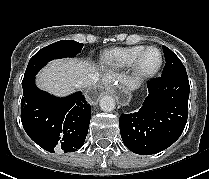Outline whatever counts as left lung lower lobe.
Segmentation results:
<instances>
[{
	"mask_svg": "<svg viewBox=\"0 0 209 179\" xmlns=\"http://www.w3.org/2000/svg\"><path fill=\"white\" fill-rule=\"evenodd\" d=\"M147 87L149 95L140 110L119 118L125 146L141 155L171 146L182 134L188 117L190 86L186 72L161 76Z\"/></svg>",
	"mask_w": 209,
	"mask_h": 179,
	"instance_id": "1",
	"label": "left lung lower lobe"
}]
</instances>
